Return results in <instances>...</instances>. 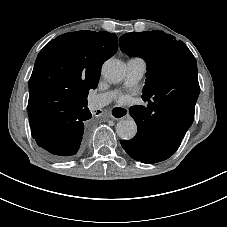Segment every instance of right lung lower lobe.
<instances>
[{
  "instance_id": "obj_1",
  "label": "right lung lower lobe",
  "mask_w": 227,
  "mask_h": 227,
  "mask_svg": "<svg viewBox=\"0 0 227 227\" xmlns=\"http://www.w3.org/2000/svg\"><path fill=\"white\" fill-rule=\"evenodd\" d=\"M69 117V122L54 131L31 129L36 143L47 151L51 159L70 158L82 148L85 142L89 123L87 120L92 117L87 103L74 107Z\"/></svg>"
}]
</instances>
